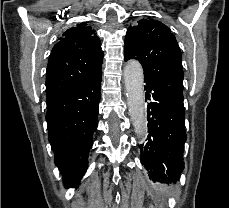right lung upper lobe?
<instances>
[{
  "mask_svg": "<svg viewBox=\"0 0 229 208\" xmlns=\"http://www.w3.org/2000/svg\"><path fill=\"white\" fill-rule=\"evenodd\" d=\"M59 40L47 65L46 100L91 78L102 68L100 40L86 23L68 29Z\"/></svg>",
  "mask_w": 229,
  "mask_h": 208,
  "instance_id": "1",
  "label": "right lung upper lobe"
}]
</instances>
